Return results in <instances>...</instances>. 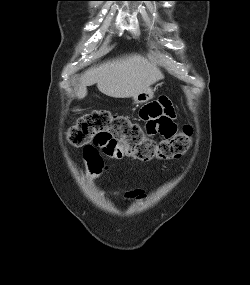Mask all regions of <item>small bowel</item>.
<instances>
[{
  "label": "small bowel",
  "instance_id": "c3829d8e",
  "mask_svg": "<svg viewBox=\"0 0 250 285\" xmlns=\"http://www.w3.org/2000/svg\"><path fill=\"white\" fill-rule=\"evenodd\" d=\"M140 117L144 121L143 133L145 136H175L177 128L174 123L175 112L172 104L166 98H160L146 104L140 111ZM123 155H113L121 158ZM84 159L91 177L98 176L105 165L97 149L88 147L84 149ZM143 190L136 189L126 194L127 198L143 197Z\"/></svg>",
  "mask_w": 250,
  "mask_h": 285
}]
</instances>
